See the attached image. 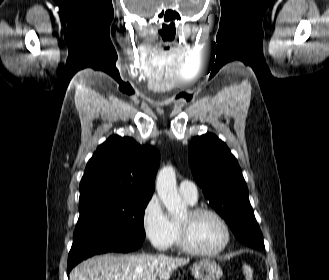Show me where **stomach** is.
<instances>
[{"label": "stomach", "mask_w": 329, "mask_h": 280, "mask_svg": "<svg viewBox=\"0 0 329 280\" xmlns=\"http://www.w3.org/2000/svg\"><path fill=\"white\" fill-rule=\"evenodd\" d=\"M191 272L198 280H220L222 276L220 266L212 260H201L195 263Z\"/></svg>", "instance_id": "obj_1"}]
</instances>
